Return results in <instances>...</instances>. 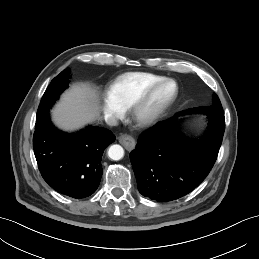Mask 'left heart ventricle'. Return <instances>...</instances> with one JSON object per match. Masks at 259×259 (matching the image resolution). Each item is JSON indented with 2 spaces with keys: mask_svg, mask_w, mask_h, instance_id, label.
I'll list each match as a JSON object with an SVG mask.
<instances>
[{
  "mask_svg": "<svg viewBox=\"0 0 259 259\" xmlns=\"http://www.w3.org/2000/svg\"><path fill=\"white\" fill-rule=\"evenodd\" d=\"M174 92V85L167 84L158 89L151 97L147 106L142 110V115L152 113L156 108L167 101Z\"/></svg>",
  "mask_w": 259,
  "mask_h": 259,
  "instance_id": "b2bd125f",
  "label": "left heart ventricle"
}]
</instances>
